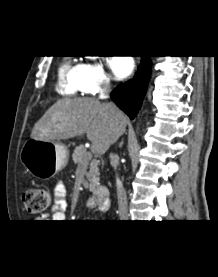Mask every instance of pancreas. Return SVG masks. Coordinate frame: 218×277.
Returning <instances> with one entry per match:
<instances>
[{"instance_id":"obj_1","label":"pancreas","mask_w":218,"mask_h":277,"mask_svg":"<svg viewBox=\"0 0 218 277\" xmlns=\"http://www.w3.org/2000/svg\"><path fill=\"white\" fill-rule=\"evenodd\" d=\"M72 159L73 162L78 165L82 163L89 164L91 161L89 172L86 173V177L89 182V190L94 192L100 184L98 162L92 158V154L88 152L83 145L77 146L75 148L72 154Z\"/></svg>"}]
</instances>
